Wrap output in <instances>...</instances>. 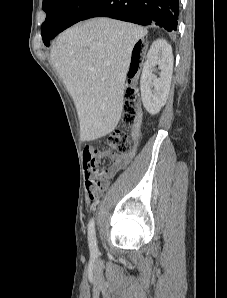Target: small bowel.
I'll return each instance as SVG.
<instances>
[{
    "instance_id": "small-bowel-1",
    "label": "small bowel",
    "mask_w": 227,
    "mask_h": 298,
    "mask_svg": "<svg viewBox=\"0 0 227 298\" xmlns=\"http://www.w3.org/2000/svg\"><path fill=\"white\" fill-rule=\"evenodd\" d=\"M140 126V116L133 128V136L135 139L138 137V131ZM103 157H109L113 164L110 167L104 168L99 171V159ZM84 167L86 170V185L89 191L93 188V183L98 182V190L101 195L107 188L109 179L121 169L125 168L131 160V154H113L108 151H100L99 146H87L83 151Z\"/></svg>"
}]
</instances>
